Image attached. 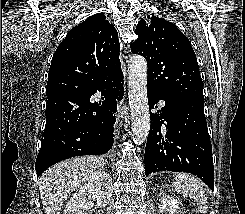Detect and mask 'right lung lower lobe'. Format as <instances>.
Returning a JSON list of instances; mask_svg holds the SVG:
<instances>
[{"instance_id":"1","label":"right lung lower lobe","mask_w":245,"mask_h":214,"mask_svg":"<svg viewBox=\"0 0 245 214\" xmlns=\"http://www.w3.org/2000/svg\"><path fill=\"white\" fill-rule=\"evenodd\" d=\"M123 74L105 80L97 92L103 102L90 97L75 103L64 94L47 98L46 125L35 168L39 177L47 168L74 156L100 155L113 146L117 100L123 98Z\"/></svg>"}]
</instances>
